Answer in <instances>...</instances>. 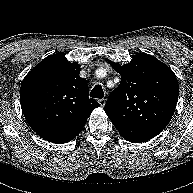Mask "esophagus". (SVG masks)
Returning a JSON list of instances; mask_svg holds the SVG:
<instances>
[{
  "mask_svg": "<svg viewBox=\"0 0 193 193\" xmlns=\"http://www.w3.org/2000/svg\"><path fill=\"white\" fill-rule=\"evenodd\" d=\"M98 102H99L101 107H104L105 104H106V100L105 99H99Z\"/></svg>",
  "mask_w": 193,
  "mask_h": 193,
  "instance_id": "obj_1",
  "label": "esophagus"
}]
</instances>
